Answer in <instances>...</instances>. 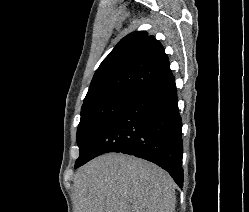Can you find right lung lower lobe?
<instances>
[{"label":"right lung lower lobe","instance_id":"98d812e1","mask_svg":"<svg viewBox=\"0 0 249 212\" xmlns=\"http://www.w3.org/2000/svg\"><path fill=\"white\" fill-rule=\"evenodd\" d=\"M181 129L172 75L139 94L122 110L101 134L83 164L108 152L134 155L157 164L182 187Z\"/></svg>","mask_w":249,"mask_h":212}]
</instances>
